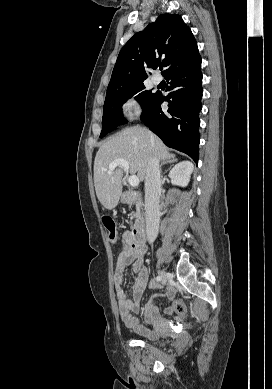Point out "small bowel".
Masks as SVG:
<instances>
[{"mask_svg": "<svg viewBox=\"0 0 272 389\" xmlns=\"http://www.w3.org/2000/svg\"><path fill=\"white\" fill-rule=\"evenodd\" d=\"M146 253V246L136 245L131 242L130 234L125 233L122 237V249L117 257L115 271H114V286L116 297L118 300V307L120 317L124 325L133 330L137 335L144 338L150 339L154 333L151 329L147 328L146 325L151 324L153 321L158 319L159 310L149 301L145 307L144 324H141L138 319L134 316L135 313L140 310V302L142 293L148 283L149 272L144 264V255ZM132 265L136 278L132 285V297L129 298L122 287L124 271L127 266ZM151 287L156 288L157 285L151 282ZM174 294L173 289H168L165 295L171 298ZM168 313L172 312L171 308H167Z\"/></svg>", "mask_w": 272, "mask_h": 389, "instance_id": "c3829d8e", "label": "small bowel"}]
</instances>
